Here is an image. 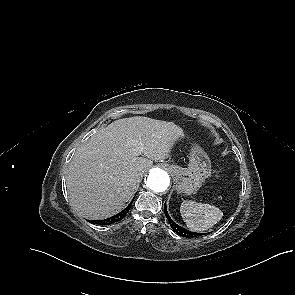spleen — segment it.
Returning <instances> with one entry per match:
<instances>
[{
	"instance_id": "obj_1",
	"label": "spleen",
	"mask_w": 295,
	"mask_h": 295,
	"mask_svg": "<svg viewBox=\"0 0 295 295\" xmlns=\"http://www.w3.org/2000/svg\"><path fill=\"white\" fill-rule=\"evenodd\" d=\"M180 213L187 227L192 231H204L221 220L223 213L210 204H202L192 200H184Z\"/></svg>"
}]
</instances>
